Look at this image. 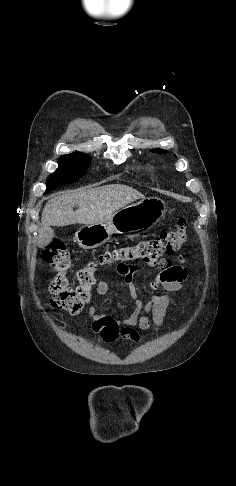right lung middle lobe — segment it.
Segmentation results:
<instances>
[{
  "label": "right lung middle lobe",
  "mask_w": 236,
  "mask_h": 486,
  "mask_svg": "<svg viewBox=\"0 0 236 486\" xmlns=\"http://www.w3.org/2000/svg\"><path fill=\"white\" fill-rule=\"evenodd\" d=\"M90 163V157L80 153H71L59 158L58 169L49 176L47 189L44 194L49 193L56 187L75 182L78 180Z\"/></svg>",
  "instance_id": "dd1d6c3e"
}]
</instances>
